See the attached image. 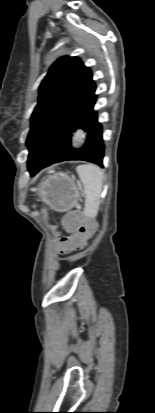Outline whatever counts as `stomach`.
<instances>
[{"mask_svg":"<svg viewBox=\"0 0 155 413\" xmlns=\"http://www.w3.org/2000/svg\"><path fill=\"white\" fill-rule=\"evenodd\" d=\"M38 194L51 208L64 212L77 204L82 189L67 174L55 173L41 182Z\"/></svg>","mask_w":155,"mask_h":413,"instance_id":"obj_1","label":"stomach"}]
</instances>
